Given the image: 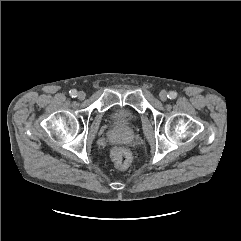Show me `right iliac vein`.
Segmentation results:
<instances>
[{"label":"right iliac vein","instance_id":"63e3f726","mask_svg":"<svg viewBox=\"0 0 241 241\" xmlns=\"http://www.w3.org/2000/svg\"><path fill=\"white\" fill-rule=\"evenodd\" d=\"M85 96H86V94H85L83 91H80V92L78 93V98H79L80 100H83V99L85 98Z\"/></svg>","mask_w":241,"mask_h":241}]
</instances>
